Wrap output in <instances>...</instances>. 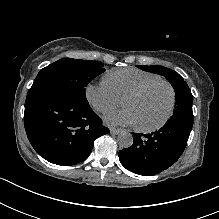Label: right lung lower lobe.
<instances>
[{
    "mask_svg": "<svg viewBox=\"0 0 219 219\" xmlns=\"http://www.w3.org/2000/svg\"><path fill=\"white\" fill-rule=\"evenodd\" d=\"M24 125L37 153L61 166L85 160L92 151L94 140L109 133L88 102L50 87L29 90Z\"/></svg>",
    "mask_w": 219,
    "mask_h": 219,
    "instance_id": "1",
    "label": "right lung lower lobe"
}]
</instances>
